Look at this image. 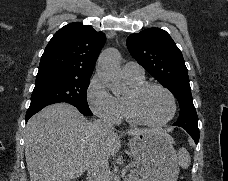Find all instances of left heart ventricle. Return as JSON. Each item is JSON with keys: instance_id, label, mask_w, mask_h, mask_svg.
<instances>
[{"instance_id": "left-heart-ventricle-1", "label": "left heart ventricle", "mask_w": 228, "mask_h": 181, "mask_svg": "<svg viewBox=\"0 0 228 181\" xmlns=\"http://www.w3.org/2000/svg\"><path fill=\"white\" fill-rule=\"evenodd\" d=\"M141 115L151 121H158L167 116L169 101L164 93L156 88H150L141 95L138 102Z\"/></svg>"}]
</instances>
